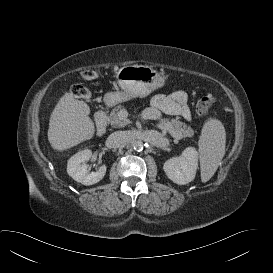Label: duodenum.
I'll return each mask as SVG.
<instances>
[{
    "label": "duodenum",
    "mask_w": 273,
    "mask_h": 273,
    "mask_svg": "<svg viewBox=\"0 0 273 273\" xmlns=\"http://www.w3.org/2000/svg\"><path fill=\"white\" fill-rule=\"evenodd\" d=\"M107 117L106 114L103 111H98L96 113V127H95V133L96 135L102 136L106 129H107Z\"/></svg>",
    "instance_id": "duodenum-1"
}]
</instances>
